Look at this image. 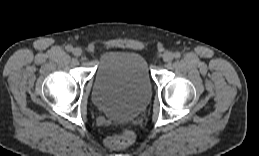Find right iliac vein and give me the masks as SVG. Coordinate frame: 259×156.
<instances>
[{"mask_svg": "<svg viewBox=\"0 0 259 156\" xmlns=\"http://www.w3.org/2000/svg\"><path fill=\"white\" fill-rule=\"evenodd\" d=\"M73 54H74V56L79 57L82 54V50L80 48H74Z\"/></svg>", "mask_w": 259, "mask_h": 156, "instance_id": "right-iliac-vein-1", "label": "right iliac vein"}]
</instances>
